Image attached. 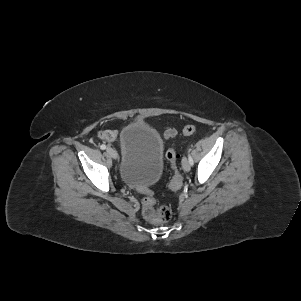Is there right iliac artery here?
Wrapping results in <instances>:
<instances>
[{"label":"right iliac artery","instance_id":"1","mask_svg":"<svg viewBox=\"0 0 301 301\" xmlns=\"http://www.w3.org/2000/svg\"><path fill=\"white\" fill-rule=\"evenodd\" d=\"M100 148H101L102 150H104V149H106V145L102 144V145L100 146Z\"/></svg>","mask_w":301,"mask_h":301}]
</instances>
